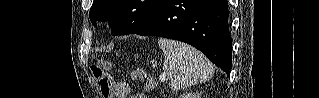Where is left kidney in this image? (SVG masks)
Segmentation results:
<instances>
[{
  "mask_svg": "<svg viewBox=\"0 0 319 98\" xmlns=\"http://www.w3.org/2000/svg\"><path fill=\"white\" fill-rule=\"evenodd\" d=\"M181 98H200V96L197 93H185Z\"/></svg>",
  "mask_w": 319,
  "mask_h": 98,
  "instance_id": "5707ae66",
  "label": "left kidney"
}]
</instances>
